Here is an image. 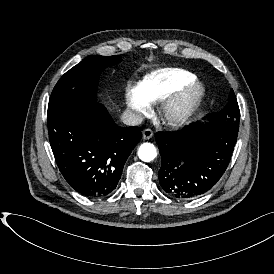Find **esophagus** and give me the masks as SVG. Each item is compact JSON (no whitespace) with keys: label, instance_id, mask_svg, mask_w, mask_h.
<instances>
[{"label":"esophagus","instance_id":"esophagus-1","mask_svg":"<svg viewBox=\"0 0 274 274\" xmlns=\"http://www.w3.org/2000/svg\"><path fill=\"white\" fill-rule=\"evenodd\" d=\"M153 135H154V133L151 129L146 128L143 130V139L144 140L151 139L153 137Z\"/></svg>","mask_w":274,"mask_h":274}]
</instances>
